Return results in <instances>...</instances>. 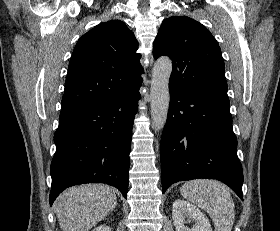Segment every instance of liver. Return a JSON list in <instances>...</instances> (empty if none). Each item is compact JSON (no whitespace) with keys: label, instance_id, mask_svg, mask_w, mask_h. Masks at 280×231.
Segmentation results:
<instances>
[{"label":"liver","instance_id":"liver-1","mask_svg":"<svg viewBox=\"0 0 280 231\" xmlns=\"http://www.w3.org/2000/svg\"><path fill=\"white\" fill-rule=\"evenodd\" d=\"M117 203L115 189L102 183H84L65 189L55 201L63 231H89Z\"/></svg>","mask_w":280,"mask_h":231}]
</instances>
